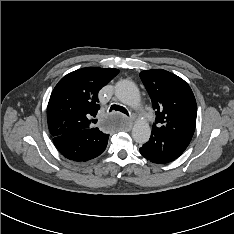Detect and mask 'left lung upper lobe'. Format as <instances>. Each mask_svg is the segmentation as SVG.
<instances>
[{"label": "left lung upper lobe", "mask_w": 234, "mask_h": 234, "mask_svg": "<svg viewBox=\"0 0 234 234\" xmlns=\"http://www.w3.org/2000/svg\"><path fill=\"white\" fill-rule=\"evenodd\" d=\"M140 78L146 87L156 120L152 131L178 144L189 145L196 126L197 105L190 86L177 75L162 69L145 70Z\"/></svg>", "instance_id": "left-lung-upper-lobe-1"}]
</instances>
